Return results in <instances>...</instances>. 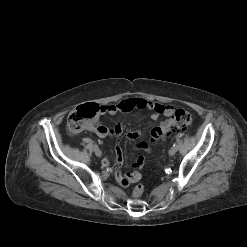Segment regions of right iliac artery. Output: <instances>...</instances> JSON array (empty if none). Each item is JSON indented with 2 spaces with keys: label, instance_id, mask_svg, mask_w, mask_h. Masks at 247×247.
Wrapping results in <instances>:
<instances>
[{
  "label": "right iliac artery",
  "instance_id": "82829eb1",
  "mask_svg": "<svg viewBox=\"0 0 247 247\" xmlns=\"http://www.w3.org/2000/svg\"><path fill=\"white\" fill-rule=\"evenodd\" d=\"M96 148H98V146L95 144V145H93V149H96Z\"/></svg>",
  "mask_w": 247,
  "mask_h": 247
}]
</instances>
